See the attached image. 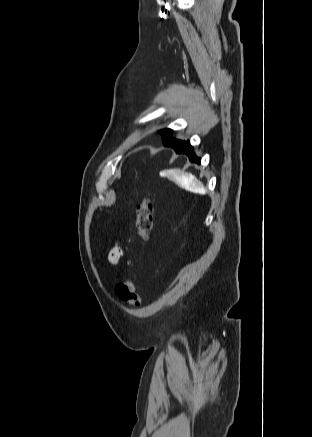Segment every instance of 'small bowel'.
I'll list each match as a JSON object with an SVG mask.
<instances>
[{
	"label": "small bowel",
	"instance_id": "obj_1",
	"mask_svg": "<svg viewBox=\"0 0 312 437\" xmlns=\"http://www.w3.org/2000/svg\"><path fill=\"white\" fill-rule=\"evenodd\" d=\"M126 255V252L119 245L112 247L108 254V260L111 264L116 265Z\"/></svg>",
	"mask_w": 312,
	"mask_h": 437
}]
</instances>
